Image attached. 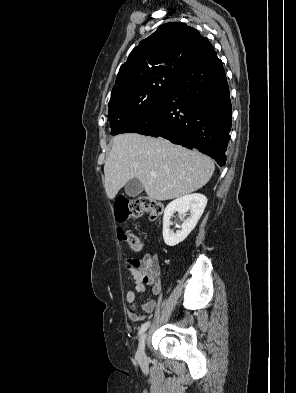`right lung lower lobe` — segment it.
I'll return each mask as SVG.
<instances>
[{"label": "right lung lower lobe", "mask_w": 296, "mask_h": 393, "mask_svg": "<svg viewBox=\"0 0 296 393\" xmlns=\"http://www.w3.org/2000/svg\"><path fill=\"white\" fill-rule=\"evenodd\" d=\"M231 101L222 61L214 48L184 71L174 87L121 133L163 137L198 149L223 166L231 130Z\"/></svg>", "instance_id": "obj_1"}]
</instances>
